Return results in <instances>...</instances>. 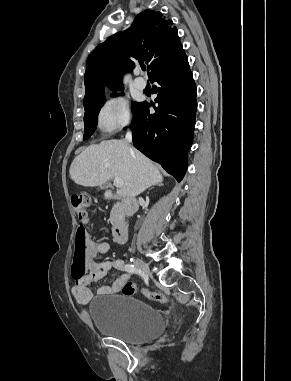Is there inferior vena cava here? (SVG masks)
<instances>
[{
    "mask_svg": "<svg viewBox=\"0 0 291 381\" xmlns=\"http://www.w3.org/2000/svg\"><path fill=\"white\" fill-rule=\"evenodd\" d=\"M126 139H127L128 141H131V140H132V135H131V132H130V131H128V132L126 133Z\"/></svg>",
    "mask_w": 291,
    "mask_h": 381,
    "instance_id": "obj_1",
    "label": "inferior vena cava"
}]
</instances>
